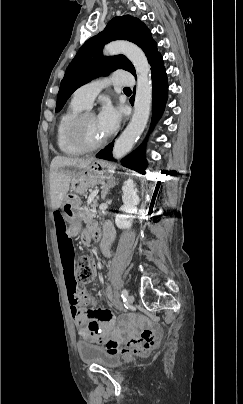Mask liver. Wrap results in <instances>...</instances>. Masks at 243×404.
Wrapping results in <instances>:
<instances>
[{"label":"liver","instance_id":"liver-1","mask_svg":"<svg viewBox=\"0 0 243 404\" xmlns=\"http://www.w3.org/2000/svg\"><path fill=\"white\" fill-rule=\"evenodd\" d=\"M94 158H66V156H56L53 158L50 166V198L51 208L57 210L65 200L71 178L75 168H87ZM74 168V170H69Z\"/></svg>","mask_w":243,"mask_h":404}]
</instances>
